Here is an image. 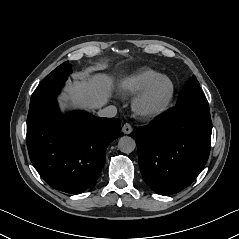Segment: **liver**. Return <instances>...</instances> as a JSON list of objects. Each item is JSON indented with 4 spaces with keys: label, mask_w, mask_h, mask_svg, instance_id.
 Returning a JSON list of instances; mask_svg holds the SVG:
<instances>
[{
    "label": "liver",
    "mask_w": 239,
    "mask_h": 239,
    "mask_svg": "<svg viewBox=\"0 0 239 239\" xmlns=\"http://www.w3.org/2000/svg\"><path fill=\"white\" fill-rule=\"evenodd\" d=\"M112 81L103 74H81L70 83L62 100L74 106L93 110L105 105L111 96Z\"/></svg>",
    "instance_id": "1"
}]
</instances>
